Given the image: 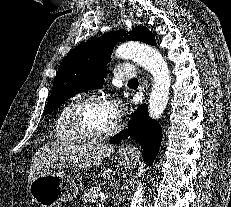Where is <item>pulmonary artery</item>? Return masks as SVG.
Returning a JSON list of instances; mask_svg holds the SVG:
<instances>
[{
	"label": "pulmonary artery",
	"mask_w": 231,
	"mask_h": 207,
	"mask_svg": "<svg viewBox=\"0 0 231 207\" xmlns=\"http://www.w3.org/2000/svg\"><path fill=\"white\" fill-rule=\"evenodd\" d=\"M115 77L119 80H131L136 77V71L131 65H119L116 67Z\"/></svg>",
	"instance_id": "obj_1"
}]
</instances>
